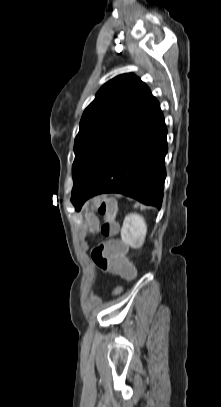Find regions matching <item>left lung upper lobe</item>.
<instances>
[{"label":"left lung upper lobe","mask_w":221,"mask_h":407,"mask_svg":"<svg viewBox=\"0 0 221 407\" xmlns=\"http://www.w3.org/2000/svg\"><path fill=\"white\" fill-rule=\"evenodd\" d=\"M151 96L150 89L134 74L119 75L101 87L85 109L75 138L72 199Z\"/></svg>","instance_id":"5c2ea615"}]
</instances>
